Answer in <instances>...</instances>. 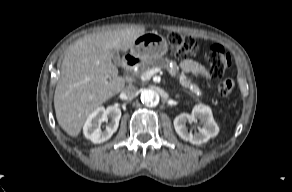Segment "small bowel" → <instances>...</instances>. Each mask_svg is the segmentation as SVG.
Instances as JSON below:
<instances>
[{
	"mask_svg": "<svg viewBox=\"0 0 292 192\" xmlns=\"http://www.w3.org/2000/svg\"><path fill=\"white\" fill-rule=\"evenodd\" d=\"M181 68L186 73H191L196 76L208 78V72L206 71V69L192 59H185L181 63Z\"/></svg>",
	"mask_w": 292,
	"mask_h": 192,
	"instance_id": "1",
	"label": "small bowel"
}]
</instances>
